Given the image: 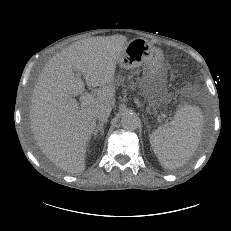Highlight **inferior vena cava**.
I'll return each instance as SVG.
<instances>
[{
    "label": "inferior vena cava",
    "mask_w": 231,
    "mask_h": 231,
    "mask_svg": "<svg viewBox=\"0 0 231 231\" xmlns=\"http://www.w3.org/2000/svg\"><path fill=\"white\" fill-rule=\"evenodd\" d=\"M112 107L111 106H102L100 107L95 114V117L99 121H107L110 113H111Z\"/></svg>",
    "instance_id": "602c4592"
}]
</instances>
